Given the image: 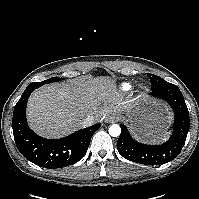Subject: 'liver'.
Masks as SVG:
<instances>
[{"instance_id": "obj_1", "label": "liver", "mask_w": 199, "mask_h": 199, "mask_svg": "<svg viewBox=\"0 0 199 199\" xmlns=\"http://www.w3.org/2000/svg\"><path fill=\"white\" fill-rule=\"evenodd\" d=\"M114 82L108 77L74 80L69 84L45 85L28 101L27 118L31 128L46 138H59L82 127L87 115L96 121L115 110H125Z\"/></svg>"}]
</instances>
